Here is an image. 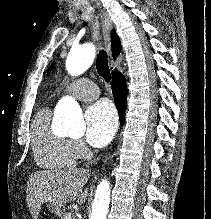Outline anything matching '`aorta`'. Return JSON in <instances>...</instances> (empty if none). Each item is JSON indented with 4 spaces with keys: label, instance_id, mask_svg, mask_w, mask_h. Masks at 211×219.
Wrapping results in <instances>:
<instances>
[{
    "label": "aorta",
    "instance_id": "aorta-1",
    "mask_svg": "<svg viewBox=\"0 0 211 219\" xmlns=\"http://www.w3.org/2000/svg\"><path fill=\"white\" fill-rule=\"evenodd\" d=\"M95 57L92 44L73 47L66 60V69L72 76L85 72ZM55 117L64 126V131L72 137H82L85 133V123L78 103L70 98H63L57 105ZM110 201V183L103 179L97 186L90 219H106Z\"/></svg>",
    "mask_w": 211,
    "mask_h": 219
}]
</instances>
